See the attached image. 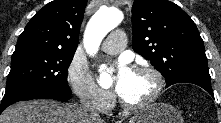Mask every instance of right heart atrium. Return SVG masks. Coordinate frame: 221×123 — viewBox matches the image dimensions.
<instances>
[{
  "label": "right heart atrium",
  "mask_w": 221,
  "mask_h": 123,
  "mask_svg": "<svg viewBox=\"0 0 221 123\" xmlns=\"http://www.w3.org/2000/svg\"><path fill=\"white\" fill-rule=\"evenodd\" d=\"M67 80L72 91L83 103L101 112H107L112 108L114 103L112 93L100 88L82 63L76 60L71 62Z\"/></svg>",
  "instance_id": "right-heart-atrium-1"
}]
</instances>
